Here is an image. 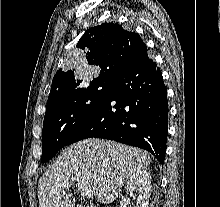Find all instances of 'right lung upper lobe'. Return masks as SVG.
Returning <instances> with one entry per match:
<instances>
[{
    "mask_svg": "<svg viewBox=\"0 0 220 207\" xmlns=\"http://www.w3.org/2000/svg\"><path fill=\"white\" fill-rule=\"evenodd\" d=\"M77 47L86 50L88 65L100 68L99 76L90 81L89 85L108 84L147 52V46L137 33L113 22L102 23L85 31ZM77 77L74 69H59L52 81L48 104L64 94L80 89L82 80Z\"/></svg>",
    "mask_w": 220,
    "mask_h": 207,
    "instance_id": "1",
    "label": "right lung upper lobe"
}]
</instances>
